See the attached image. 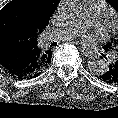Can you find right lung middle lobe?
<instances>
[{"label":"right lung middle lobe","mask_w":118,"mask_h":118,"mask_svg":"<svg viewBox=\"0 0 118 118\" xmlns=\"http://www.w3.org/2000/svg\"><path fill=\"white\" fill-rule=\"evenodd\" d=\"M4 21L18 37H27L37 31L30 0H12L0 11Z\"/></svg>","instance_id":"obj_1"}]
</instances>
